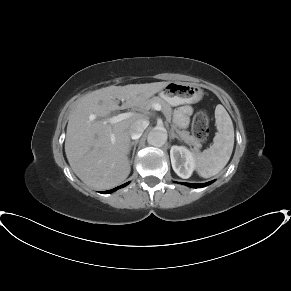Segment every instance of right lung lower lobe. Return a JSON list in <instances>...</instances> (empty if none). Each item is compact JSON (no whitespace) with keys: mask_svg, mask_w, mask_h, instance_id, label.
Returning <instances> with one entry per match:
<instances>
[{"mask_svg":"<svg viewBox=\"0 0 291 291\" xmlns=\"http://www.w3.org/2000/svg\"><path fill=\"white\" fill-rule=\"evenodd\" d=\"M127 184H128V183H125V184H123V185H121V186H119V187H116V188L112 189V190H108V191H106L105 193L113 192V191H115V190H117V189H119V188H121V187L126 186Z\"/></svg>","mask_w":291,"mask_h":291,"instance_id":"1","label":"right lung lower lobe"}]
</instances>
